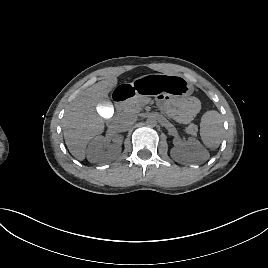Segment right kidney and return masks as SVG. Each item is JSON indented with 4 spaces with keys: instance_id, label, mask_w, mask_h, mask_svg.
Instances as JSON below:
<instances>
[{
    "instance_id": "ca27d5eb",
    "label": "right kidney",
    "mask_w": 268,
    "mask_h": 268,
    "mask_svg": "<svg viewBox=\"0 0 268 268\" xmlns=\"http://www.w3.org/2000/svg\"><path fill=\"white\" fill-rule=\"evenodd\" d=\"M123 138L117 137L113 144H108L103 136H96L87 149V159L91 163L105 165L115 160L121 153Z\"/></svg>"
}]
</instances>
